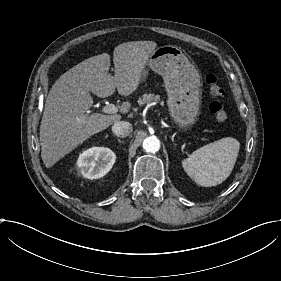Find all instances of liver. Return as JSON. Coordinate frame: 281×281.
Returning <instances> with one entry per match:
<instances>
[{"label": "liver", "mask_w": 281, "mask_h": 281, "mask_svg": "<svg viewBox=\"0 0 281 281\" xmlns=\"http://www.w3.org/2000/svg\"><path fill=\"white\" fill-rule=\"evenodd\" d=\"M156 46L153 41H135L115 47L114 76L109 74L110 55L103 53L75 65L56 80L47 96L40 125L41 158L47 168L121 119L119 114H89L93 105L90 92L101 98L111 96L116 89L122 96L131 95ZM130 106L124 102L121 113H127Z\"/></svg>", "instance_id": "obj_1"}]
</instances>
